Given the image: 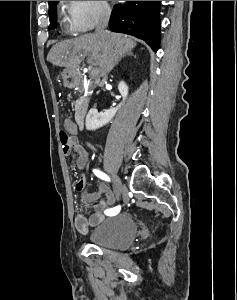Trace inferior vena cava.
Returning a JSON list of instances; mask_svg holds the SVG:
<instances>
[{
	"label": "inferior vena cava",
	"instance_id": "1",
	"mask_svg": "<svg viewBox=\"0 0 237 300\" xmlns=\"http://www.w3.org/2000/svg\"><path fill=\"white\" fill-rule=\"evenodd\" d=\"M110 15L111 9H109L107 5H102L98 25L96 27V35H99V37H102V35H104V31L106 27H108Z\"/></svg>",
	"mask_w": 237,
	"mask_h": 300
}]
</instances>
